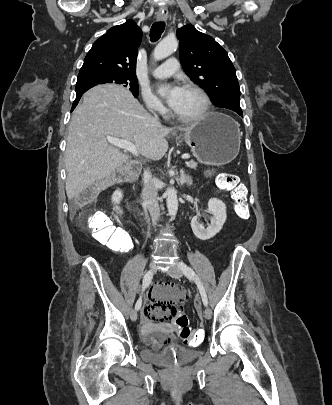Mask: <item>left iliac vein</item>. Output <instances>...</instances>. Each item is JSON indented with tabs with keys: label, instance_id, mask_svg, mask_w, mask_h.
Returning a JSON list of instances; mask_svg holds the SVG:
<instances>
[{
	"label": "left iliac vein",
	"instance_id": "1",
	"mask_svg": "<svg viewBox=\"0 0 332 405\" xmlns=\"http://www.w3.org/2000/svg\"><path fill=\"white\" fill-rule=\"evenodd\" d=\"M167 273L176 279H179L182 277V271L180 270V268L176 265L171 266L170 268L167 269ZM204 317L206 319H210L212 317V311L210 308L206 307L204 310Z\"/></svg>",
	"mask_w": 332,
	"mask_h": 405
}]
</instances>
